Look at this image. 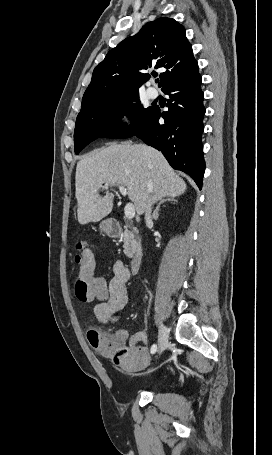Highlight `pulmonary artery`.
Wrapping results in <instances>:
<instances>
[{"label": "pulmonary artery", "mask_w": 272, "mask_h": 455, "mask_svg": "<svg viewBox=\"0 0 272 455\" xmlns=\"http://www.w3.org/2000/svg\"><path fill=\"white\" fill-rule=\"evenodd\" d=\"M147 95H148L149 98L155 99V98L158 97L159 93H158V91H157L155 88H153V87H148V89H147Z\"/></svg>", "instance_id": "e3ab8cb5"}]
</instances>
